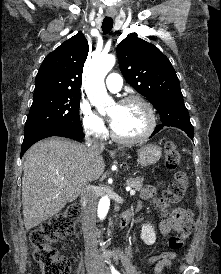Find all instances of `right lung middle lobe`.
<instances>
[{
    "mask_svg": "<svg viewBox=\"0 0 221 274\" xmlns=\"http://www.w3.org/2000/svg\"><path fill=\"white\" fill-rule=\"evenodd\" d=\"M80 94L33 99L24 134L50 126L83 131L79 117Z\"/></svg>",
    "mask_w": 221,
    "mask_h": 274,
    "instance_id": "1",
    "label": "right lung middle lobe"
}]
</instances>
